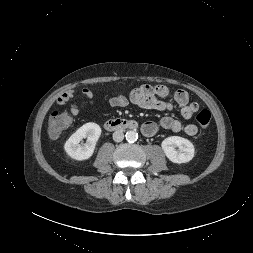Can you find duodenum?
I'll list each match as a JSON object with an SVG mask.
<instances>
[{"instance_id":"1","label":"duodenum","mask_w":253,"mask_h":253,"mask_svg":"<svg viewBox=\"0 0 253 253\" xmlns=\"http://www.w3.org/2000/svg\"><path fill=\"white\" fill-rule=\"evenodd\" d=\"M104 126L109 131L125 129L136 130L138 128V123L135 120L116 118L107 120Z\"/></svg>"}]
</instances>
